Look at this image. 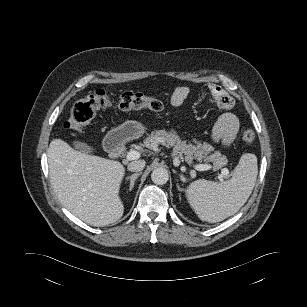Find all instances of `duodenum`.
Here are the masks:
<instances>
[{"mask_svg": "<svg viewBox=\"0 0 307 307\" xmlns=\"http://www.w3.org/2000/svg\"><path fill=\"white\" fill-rule=\"evenodd\" d=\"M107 147L113 158L120 157L124 152V144L120 135H114L107 140Z\"/></svg>", "mask_w": 307, "mask_h": 307, "instance_id": "1", "label": "duodenum"}]
</instances>
